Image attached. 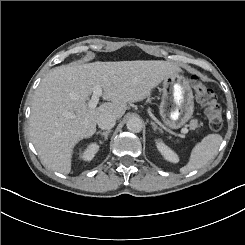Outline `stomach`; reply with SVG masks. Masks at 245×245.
Listing matches in <instances>:
<instances>
[{
    "label": "stomach",
    "mask_w": 245,
    "mask_h": 245,
    "mask_svg": "<svg viewBox=\"0 0 245 245\" xmlns=\"http://www.w3.org/2000/svg\"><path fill=\"white\" fill-rule=\"evenodd\" d=\"M161 85L160 115L170 128H179L192 117L194 111V97L189 82L176 73L164 78Z\"/></svg>",
    "instance_id": "0dacf381"
}]
</instances>
